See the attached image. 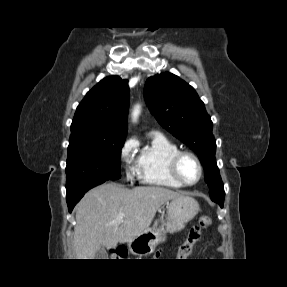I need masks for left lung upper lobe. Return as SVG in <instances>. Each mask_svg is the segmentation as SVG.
I'll use <instances>...</instances> for the list:
<instances>
[{
	"instance_id": "obj_1",
	"label": "left lung upper lobe",
	"mask_w": 287,
	"mask_h": 287,
	"mask_svg": "<svg viewBox=\"0 0 287 287\" xmlns=\"http://www.w3.org/2000/svg\"><path fill=\"white\" fill-rule=\"evenodd\" d=\"M144 95L161 126L199 156L211 199L223 203L225 192L215 159L213 123L194 88L178 76L165 72L147 79Z\"/></svg>"
}]
</instances>
